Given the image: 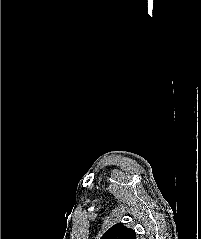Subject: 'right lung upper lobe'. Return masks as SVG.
<instances>
[{
  "label": "right lung upper lobe",
  "mask_w": 201,
  "mask_h": 239,
  "mask_svg": "<svg viewBox=\"0 0 201 239\" xmlns=\"http://www.w3.org/2000/svg\"><path fill=\"white\" fill-rule=\"evenodd\" d=\"M100 239H136L135 232L122 223L113 225Z\"/></svg>",
  "instance_id": "obj_1"
}]
</instances>
